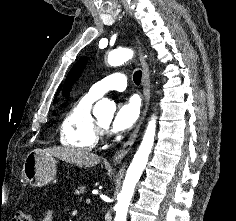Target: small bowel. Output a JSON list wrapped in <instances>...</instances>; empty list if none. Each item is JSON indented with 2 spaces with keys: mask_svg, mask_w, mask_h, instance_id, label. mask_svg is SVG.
<instances>
[{
  "mask_svg": "<svg viewBox=\"0 0 236 221\" xmlns=\"http://www.w3.org/2000/svg\"><path fill=\"white\" fill-rule=\"evenodd\" d=\"M41 221H54L53 211L52 210L46 211Z\"/></svg>",
  "mask_w": 236,
  "mask_h": 221,
  "instance_id": "small-bowel-1",
  "label": "small bowel"
}]
</instances>
